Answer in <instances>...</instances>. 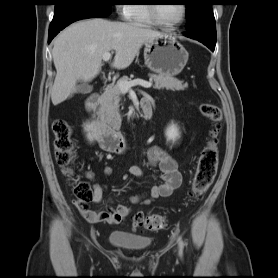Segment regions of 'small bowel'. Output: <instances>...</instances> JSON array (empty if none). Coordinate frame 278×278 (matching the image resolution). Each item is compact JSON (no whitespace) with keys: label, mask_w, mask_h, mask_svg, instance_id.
I'll use <instances>...</instances> for the list:
<instances>
[{"label":"small bowel","mask_w":278,"mask_h":278,"mask_svg":"<svg viewBox=\"0 0 278 278\" xmlns=\"http://www.w3.org/2000/svg\"><path fill=\"white\" fill-rule=\"evenodd\" d=\"M148 157L151 164L158 169L162 182L151 187L146 196H131L130 201L133 204H150L158 198L169 197L177 190L182 183V175L178 170L176 160L159 146H153L148 151ZM106 176L111 174V168L105 167ZM129 173L135 177H142L143 171L133 165L129 168ZM104 185L96 183L93 186V202L101 203L103 199ZM75 205L81 215L91 223L105 222L112 225L121 223L129 214L130 208L125 204L108 206L105 210L94 211L87 205L75 202Z\"/></svg>","instance_id":"obj_1"}]
</instances>
